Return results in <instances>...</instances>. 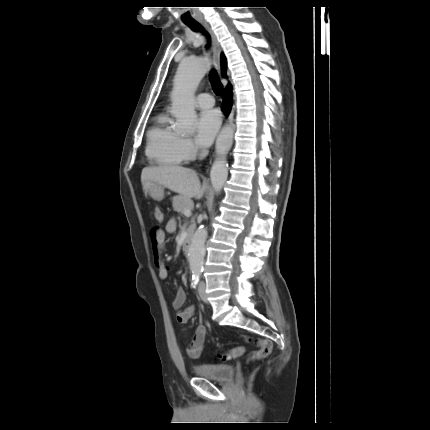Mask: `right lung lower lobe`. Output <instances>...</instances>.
<instances>
[{
	"label": "right lung lower lobe",
	"mask_w": 430,
	"mask_h": 430,
	"mask_svg": "<svg viewBox=\"0 0 430 430\" xmlns=\"http://www.w3.org/2000/svg\"><path fill=\"white\" fill-rule=\"evenodd\" d=\"M231 106H232V87L231 85H228L225 91L224 103H223V110L226 113V115L229 114Z\"/></svg>",
	"instance_id": "1"
}]
</instances>
